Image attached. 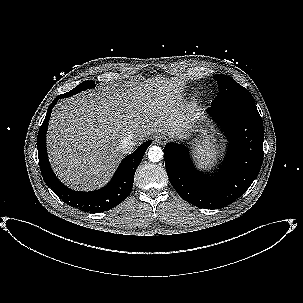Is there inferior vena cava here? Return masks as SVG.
<instances>
[{"instance_id":"obj_1","label":"inferior vena cava","mask_w":303,"mask_h":303,"mask_svg":"<svg viewBox=\"0 0 303 303\" xmlns=\"http://www.w3.org/2000/svg\"><path fill=\"white\" fill-rule=\"evenodd\" d=\"M133 139V135H127L121 140L119 148L123 153H130L134 150L135 147Z\"/></svg>"}]
</instances>
